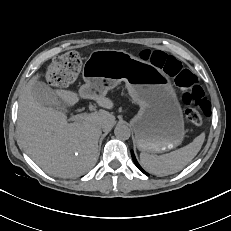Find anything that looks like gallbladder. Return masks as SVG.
Returning a JSON list of instances; mask_svg holds the SVG:
<instances>
[{"label": "gallbladder", "mask_w": 231, "mask_h": 231, "mask_svg": "<svg viewBox=\"0 0 231 231\" xmlns=\"http://www.w3.org/2000/svg\"><path fill=\"white\" fill-rule=\"evenodd\" d=\"M34 98L44 106L58 107L62 104L55 91L43 82H36L32 88Z\"/></svg>", "instance_id": "obj_1"}]
</instances>
